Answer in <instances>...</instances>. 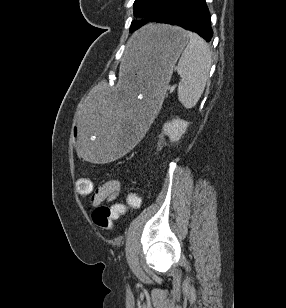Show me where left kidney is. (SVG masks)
<instances>
[{
	"label": "left kidney",
	"mask_w": 286,
	"mask_h": 308,
	"mask_svg": "<svg viewBox=\"0 0 286 308\" xmlns=\"http://www.w3.org/2000/svg\"><path fill=\"white\" fill-rule=\"evenodd\" d=\"M188 123L179 118L167 122L163 126L164 133L169 137L171 142L178 141L187 129Z\"/></svg>",
	"instance_id": "5707ae66"
}]
</instances>
